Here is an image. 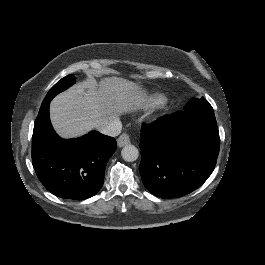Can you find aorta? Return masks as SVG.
Segmentation results:
<instances>
[{
    "mask_svg": "<svg viewBox=\"0 0 265 265\" xmlns=\"http://www.w3.org/2000/svg\"><path fill=\"white\" fill-rule=\"evenodd\" d=\"M139 152L138 149L131 144L125 145L121 150V156L123 160L127 162H133L138 158Z\"/></svg>",
    "mask_w": 265,
    "mask_h": 265,
    "instance_id": "762f6f07",
    "label": "aorta"
}]
</instances>
